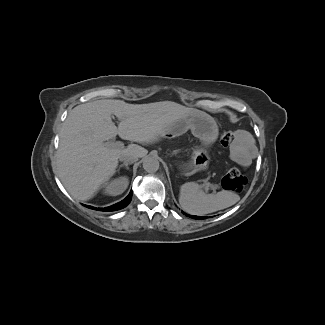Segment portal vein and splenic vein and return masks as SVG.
<instances>
[{"label": "portal vein and splenic vein", "instance_id": "portal-vein-and-splenic-vein-1", "mask_svg": "<svg viewBox=\"0 0 325 325\" xmlns=\"http://www.w3.org/2000/svg\"><path fill=\"white\" fill-rule=\"evenodd\" d=\"M107 146H109V147H114V146L115 147H123V143L120 141L115 142V143H108ZM203 185L206 188V190H208L211 184L209 182L205 181Z\"/></svg>", "mask_w": 325, "mask_h": 325}]
</instances>
